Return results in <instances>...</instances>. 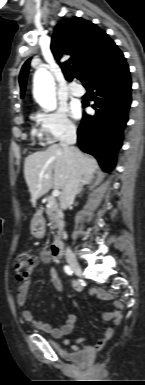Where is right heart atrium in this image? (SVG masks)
Here are the masks:
<instances>
[{
	"instance_id": "d8ad5b80",
	"label": "right heart atrium",
	"mask_w": 145,
	"mask_h": 385,
	"mask_svg": "<svg viewBox=\"0 0 145 385\" xmlns=\"http://www.w3.org/2000/svg\"><path fill=\"white\" fill-rule=\"evenodd\" d=\"M35 118L40 127L42 139L49 144L76 131V125L64 105H60L52 111H40Z\"/></svg>"
}]
</instances>
